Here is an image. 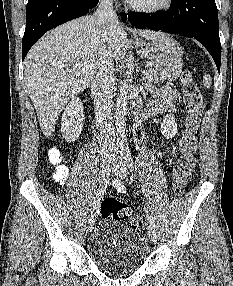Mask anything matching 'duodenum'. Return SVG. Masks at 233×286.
I'll list each match as a JSON object with an SVG mask.
<instances>
[{"label":"duodenum","instance_id":"1","mask_svg":"<svg viewBox=\"0 0 233 286\" xmlns=\"http://www.w3.org/2000/svg\"><path fill=\"white\" fill-rule=\"evenodd\" d=\"M144 117V114L141 112H137V118L142 119Z\"/></svg>","mask_w":233,"mask_h":286}]
</instances>
